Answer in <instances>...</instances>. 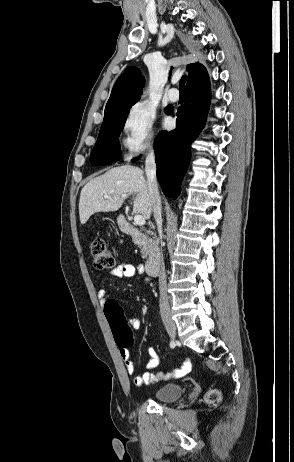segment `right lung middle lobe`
<instances>
[{
	"label": "right lung middle lobe",
	"instance_id": "obj_1",
	"mask_svg": "<svg viewBox=\"0 0 294 462\" xmlns=\"http://www.w3.org/2000/svg\"><path fill=\"white\" fill-rule=\"evenodd\" d=\"M128 113L129 110L104 118L97 143L90 156L92 164L106 165L120 159L117 155L120 150L118 137L124 127Z\"/></svg>",
	"mask_w": 294,
	"mask_h": 462
}]
</instances>
